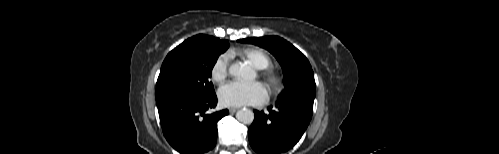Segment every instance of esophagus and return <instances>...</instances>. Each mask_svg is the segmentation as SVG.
I'll return each instance as SVG.
<instances>
[{
	"mask_svg": "<svg viewBox=\"0 0 499 154\" xmlns=\"http://www.w3.org/2000/svg\"><path fill=\"white\" fill-rule=\"evenodd\" d=\"M237 111V108H229L230 113H235Z\"/></svg>",
	"mask_w": 499,
	"mask_h": 154,
	"instance_id": "1",
	"label": "esophagus"
}]
</instances>
